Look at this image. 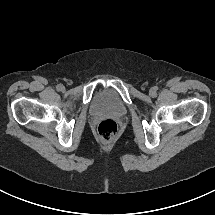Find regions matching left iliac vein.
Instances as JSON below:
<instances>
[{
  "label": "left iliac vein",
  "instance_id": "obj_1",
  "mask_svg": "<svg viewBox=\"0 0 215 215\" xmlns=\"http://www.w3.org/2000/svg\"><path fill=\"white\" fill-rule=\"evenodd\" d=\"M149 94H150V96H152V97L156 96V88H155V87H152V88L149 90Z\"/></svg>",
  "mask_w": 215,
  "mask_h": 215
}]
</instances>
